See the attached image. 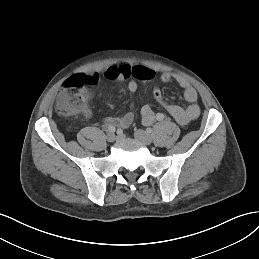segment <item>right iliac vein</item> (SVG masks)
<instances>
[{"instance_id": "63e3f726", "label": "right iliac vein", "mask_w": 259, "mask_h": 259, "mask_svg": "<svg viewBox=\"0 0 259 259\" xmlns=\"http://www.w3.org/2000/svg\"><path fill=\"white\" fill-rule=\"evenodd\" d=\"M106 139H107L108 142H114V140H115L114 133H108L107 136H106Z\"/></svg>"}]
</instances>
